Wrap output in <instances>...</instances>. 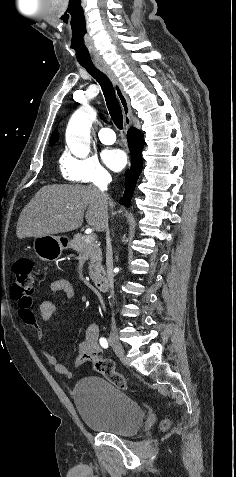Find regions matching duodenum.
Listing matches in <instances>:
<instances>
[{"label": "duodenum", "mask_w": 236, "mask_h": 477, "mask_svg": "<svg viewBox=\"0 0 236 477\" xmlns=\"http://www.w3.org/2000/svg\"><path fill=\"white\" fill-rule=\"evenodd\" d=\"M94 284L100 292H106L109 287L108 279L105 276L96 277Z\"/></svg>", "instance_id": "obj_1"}]
</instances>
